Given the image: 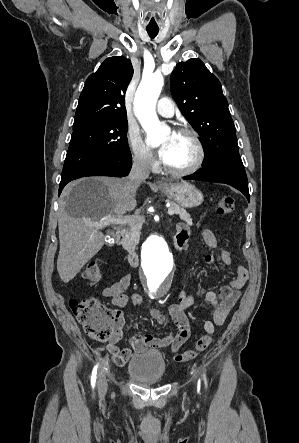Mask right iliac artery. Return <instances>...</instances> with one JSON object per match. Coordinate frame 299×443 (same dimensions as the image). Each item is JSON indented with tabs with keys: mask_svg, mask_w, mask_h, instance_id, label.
<instances>
[{
	"mask_svg": "<svg viewBox=\"0 0 299 443\" xmlns=\"http://www.w3.org/2000/svg\"><path fill=\"white\" fill-rule=\"evenodd\" d=\"M97 368H98V364H96V366H94L93 371H92V376H91V385H92V388H94V386H95L96 375H97Z\"/></svg>",
	"mask_w": 299,
	"mask_h": 443,
	"instance_id": "right-iliac-artery-1",
	"label": "right iliac artery"
}]
</instances>
